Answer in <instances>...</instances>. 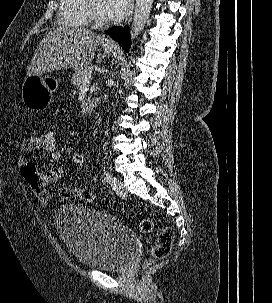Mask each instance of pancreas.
<instances>
[{
  "instance_id": "1",
  "label": "pancreas",
  "mask_w": 272,
  "mask_h": 303,
  "mask_svg": "<svg viewBox=\"0 0 272 303\" xmlns=\"http://www.w3.org/2000/svg\"><path fill=\"white\" fill-rule=\"evenodd\" d=\"M89 73H91V67L89 66L77 69L72 76V84L78 88L84 77Z\"/></svg>"
}]
</instances>
